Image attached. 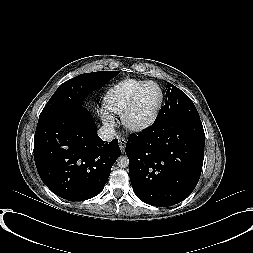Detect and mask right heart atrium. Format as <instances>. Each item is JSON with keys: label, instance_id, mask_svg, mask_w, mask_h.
<instances>
[{"label": "right heart atrium", "instance_id": "right-heart-atrium-1", "mask_svg": "<svg viewBox=\"0 0 253 253\" xmlns=\"http://www.w3.org/2000/svg\"><path fill=\"white\" fill-rule=\"evenodd\" d=\"M103 123L108 126V127H112L115 123V119L114 116L109 113L108 111H103L101 114Z\"/></svg>", "mask_w": 253, "mask_h": 253}]
</instances>
